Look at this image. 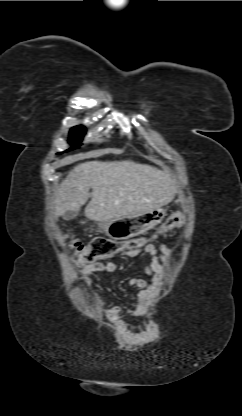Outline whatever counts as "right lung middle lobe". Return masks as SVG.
Segmentation results:
<instances>
[{"mask_svg":"<svg viewBox=\"0 0 242 416\" xmlns=\"http://www.w3.org/2000/svg\"><path fill=\"white\" fill-rule=\"evenodd\" d=\"M86 132V129L84 126H75L70 130V139L69 143L71 144H78L80 145L82 138ZM72 149V148H71ZM69 149V150H71Z\"/></svg>","mask_w":242,"mask_h":416,"instance_id":"dd1d6c3e","label":"right lung middle lobe"}]
</instances>
